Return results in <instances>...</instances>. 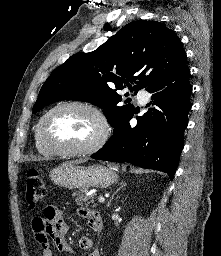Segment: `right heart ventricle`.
Here are the masks:
<instances>
[{"mask_svg": "<svg viewBox=\"0 0 221 256\" xmlns=\"http://www.w3.org/2000/svg\"><path fill=\"white\" fill-rule=\"evenodd\" d=\"M34 142H35V147L38 150V152L44 156H53L55 153L48 150L45 148L39 141L38 136H37V126L35 128V133H34Z\"/></svg>", "mask_w": 221, "mask_h": 256, "instance_id": "1", "label": "right heart ventricle"}]
</instances>
